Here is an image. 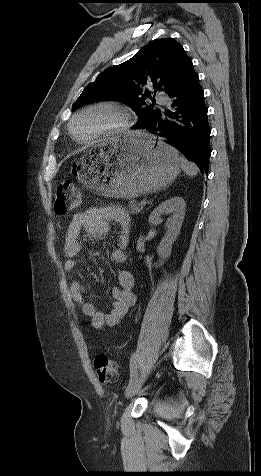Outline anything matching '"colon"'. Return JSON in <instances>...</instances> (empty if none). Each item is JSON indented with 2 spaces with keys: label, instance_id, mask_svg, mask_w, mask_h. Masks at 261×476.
I'll use <instances>...</instances> for the list:
<instances>
[{
  "label": "colon",
  "instance_id": "colon-1",
  "mask_svg": "<svg viewBox=\"0 0 261 476\" xmlns=\"http://www.w3.org/2000/svg\"><path fill=\"white\" fill-rule=\"evenodd\" d=\"M80 193L71 181H63L57 187L54 209L57 214L65 215L80 204ZM94 367L102 384H112L118 379L114 361L105 353H99L94 359Z\"/></svg>",
  "mask_w": 261,
  "mask_h": 476
}]
</instances>
